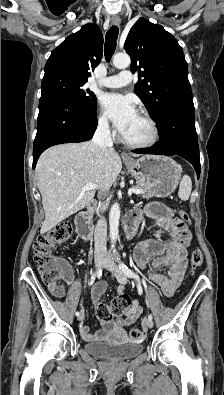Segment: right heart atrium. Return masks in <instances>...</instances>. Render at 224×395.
Returning <instances> with one entry per match:
<instances>
[{
	"instance_id": "1",
	"label": "right heart atrium",
	"mask_w": 224,
	"mask_h": 395,
	"mask_svg": "<svg viewBox=\"0 0 224 395\" xmlns=\"http://www.w3.org/2000/svg\"><path fill=\"white\" fill-rule=\"evenodd\" d=\"M97 127L102 132L110 131V124L107 117L103 113H99L96 119Z\"/></svg>"
}]
</instances>
